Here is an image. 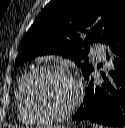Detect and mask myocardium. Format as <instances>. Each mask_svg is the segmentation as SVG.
I'll list each match as a JSON object with an SVG mask.
<instances>
[{
	"mask_svg": "<svg viewBox=\"0 0 125 128\" xmlns=\"http://www.w3.org/2000/svg\"><path fill=\"white\" fill-rule=\"evenodd\" d=\"M43 73H59L66 77H68L71 82L73 83L75 87V98L72 104L65 109L64 111L60 113H47L40 109H38L30 96V86L35 78H37L40 74ZM23 96L25 105L28 109V111L39 121L46 122V123H55L59 122L67 117H69L71 114L75 112V110L78 108L81 99H82V87L79 84V82L76 80L74 75L65 67L60 65H52V64H46L39 67L34 68L31 70L25 79L24 86H23Z\"/></svg>",
	"mask_w": 125,
	"mask_h": 128,
	"instance_id": "f54148a6",
	"label": "myocardium"
}]
</instances>
